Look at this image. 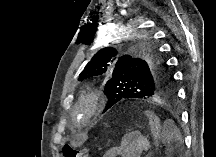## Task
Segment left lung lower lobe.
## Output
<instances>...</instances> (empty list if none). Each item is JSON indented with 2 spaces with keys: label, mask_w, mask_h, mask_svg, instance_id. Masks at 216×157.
<instances>
[{
  "label": "left lung lower lobe",
  "mask_w": 216,
  "mask_h": 157,
  "mask_svg": "<svg viewBox=\"0 0 216 157\" xmlns=\"http://www.w3.org/2000/svg\"><path fill=\"white\" fill-rule=\"evenodd\" d=\"M116 103H117V102H116ZM114 104H115V103H114ZM114 104H107L105 110L108 109V108H110V107H111L112 105H114Z\"/></svg>",
  "instance_id": "0a47b994"
}]
</instances>
